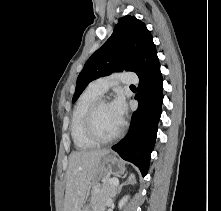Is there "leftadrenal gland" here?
Segmentation results:
<instances>
[{
  "instance_id": "obj_1",
  "label": "left adrenal gland",
  "mask_w": 221,
  "mask_h": 211,
  "mask_svg": "<svg viewBox=\"0 0 221 211\" xmlns=\"http://www.w3.org/2000/svg\"><path fill=\"white\" fill-rule=\"evenodd\" d=\"M126 177V175H124L123 176V178H125ZM125 185V183H122V184H120L119 186H118V188H117V190H116V194H119L120 192H121V190H122V187Z\"/></svg>"
}]
</instances>
